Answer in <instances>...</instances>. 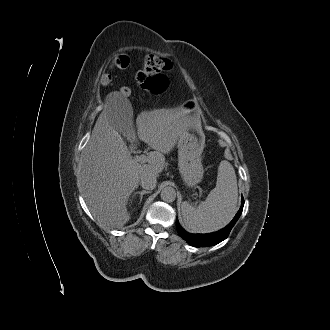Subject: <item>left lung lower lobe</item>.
Wrapping results in <instances>:
<instances>
[{"label": "left lung lower lobe", "instance_id": "1", "mask_svg": "<svg viewBox=\"0 0 330 330\" xmlns=\"http://www.w3.org/2000/svg\"><path fill=\"white\" fill-rule=\"evenodd\" d=\"M244 206V199L242 197V203L239 211L233 218V220L223 229L213 232V233H208V234H190L186 232L179 224L178 219H176V228L178 231V234L186 240L190 245L194 247H207V246H213L221 241L225 240L233 226L235 225L236 221L240 217L242 210Z\"/></svg>", "mask_w": 330, "mask_h": 330}]
</instances>
